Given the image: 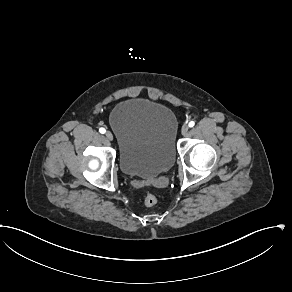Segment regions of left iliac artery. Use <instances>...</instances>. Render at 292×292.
Listing matches in <instances>:
<instances>
[{"mask_svg":"<svg viewBox=\"0 0 292 292\" xmlns=\"http://www.w3.org/2000/svg\"><path fill=\"white\" fill-rule=\"evenodd\" d=\"M194 125H195L194 121H190L189 124H188L189 127H193Z\"/></svg>","mask_w":292,"mask_h":292,"instance_id":"1","label":"left iliac artery"}]
</instances>
